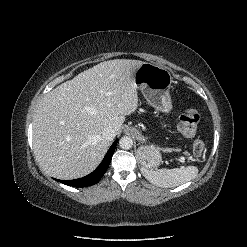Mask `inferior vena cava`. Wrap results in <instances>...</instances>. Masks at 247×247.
I'll use <instances>...</instances> for the list:
<instances>
[{"instance_id": "obj_1", "label": "inferior vena cava", "mask_w": 247, "mask_h": 247, "mask_svg": "<svg viewBox=\"0 0 247 247\" xmlns=\"http://www.w3.org/2000/svg\"><path fill=\"white\" fill-rule=\"evenodd\" d=\"M116 133L112 127H107L102 132V137L107 141H112L115 137Z\"/></svg>"}]
</instances>
